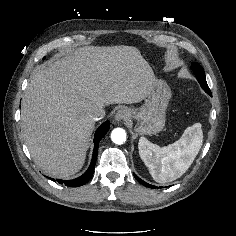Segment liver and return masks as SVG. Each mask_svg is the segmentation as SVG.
Instances as JSON below:
<instances>
[{
    "instance_id": "liver-1",
    "label": "liver",
    "mask_w": 236,
    "mask_h": 236,
    "mask_svg": "<svg viewBox=\"0 0 236 236\" xmlns=\"http://www.w3.org/2000/svg\"><path fill=\"white\" fill-rule=\"evenodd\" d=\"M152 68L131 46L81 47L32 73L22 101V131L34 162L67 178L85 162L95 120L90 111L145 99Z\"/></svg>"
}]
</instances>
